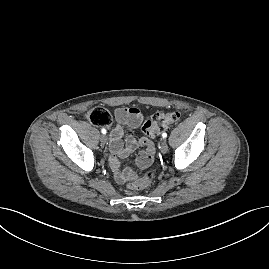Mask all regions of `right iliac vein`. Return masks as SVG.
<instances>
[{
    "label": "right iliac vein",
    "instance_id": "right-iliac-vein-1",
    "mask_svg": "<svg viewBox=\"0 0 269 269\" xmlns=\"http://www.w3.org/2000/svg\"><path fill=\"white\" fill-rule=\"evenodd\" d=\"M107 140H108V137L105 134L102 135L100 138L101 144H103V145L106 144Z\"/></svg>",
    "mask_w": 269,
    "mask_h": 269
}]
</instances>
